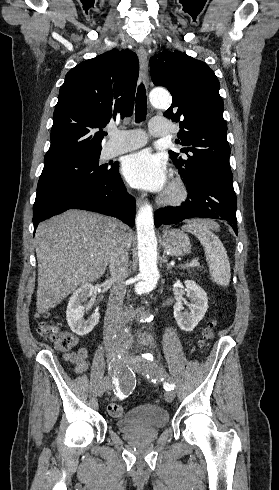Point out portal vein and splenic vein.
Returning <instances> with one entry per match:
<instances>
[{
	"label": "portal vein and splenic vein",
	"mask_w": 279,
	"mask_h": 490,
	"mask_svg": "<svg viewBox=\"0 0 279 490\" xmlns=\"http://www.w3.org/2000/svg\"><path fill=\"white\" fill-rule=\"evenodd\" d=\"M194 266H200L198 260H192V262H190V264H187V268H194ZM182 268V266H181Z\"/></svg>",
	"instance_id": "1"
}]
</instances>
